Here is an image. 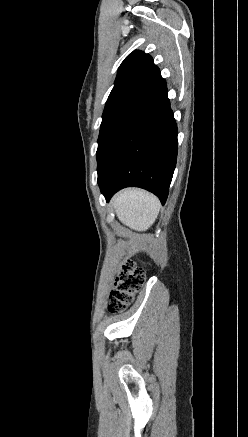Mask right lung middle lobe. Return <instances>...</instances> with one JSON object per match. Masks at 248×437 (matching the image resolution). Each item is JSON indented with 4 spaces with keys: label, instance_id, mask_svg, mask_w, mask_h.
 I'll list each match as a JSON object with an SVG mask.
<instances>
[{
    "label": "right lung middle lobe",
    "instance_id": "1",
    "mask_svg": "<svg viewBox=\"0 0 248 437\" xmlns=\"http://www.w3.org/2000/svg\"><path fill=\"white\" fill-rule=\"evenodd\" d=\"M139 94L128 93L106 103L98 138L97 161Z\"/></svg>",
    "mask_w": 248,
    "mask_h": 437
}]
</instances>
